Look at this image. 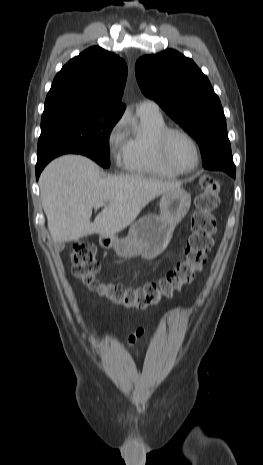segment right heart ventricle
I'll list each match as a JSON object with an SVG mask.
<instances>
[{"mask_svg":"<svg viewBox=\"0 0 263 465\" xmlns=\"http://www.w3.org/2000/svg\"><path fill=\"white\" fill-rule=\"evenodd\" d=\"M137 121L125 135L123 165L132 174L173 178L178 174L161 162L157 148L159 134L167 128L161 114L137 112Z\"/></svg>","mask_w":263,"mask_h":465,"instance_id":"right-heart-ventricle-1","label":"right heart ventricle"}]
</instances>
